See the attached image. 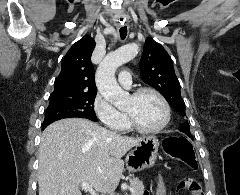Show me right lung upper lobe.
<instances>
[{"instance_id":"1","label":"right lung upper lobe","mask_w":240,"mask_h":195,"mask_svg":"<svg viewBox=\"0 0 240 195\" xmlns=\"http://www.w3.org/2000/svg\"><path fill=\"white\" fill-rule=\"evenodd\" d=\"M95 44L89 35H85L72 45L63 58L61 73L56 78L51 95L96 94L94 67L91 62Z\"/></svg>"}]
</instances>
